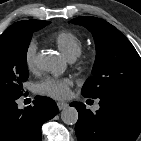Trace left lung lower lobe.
I'll use <instances>...</instances> for the list:
<instances>
[{
  "mask_svg": "<svg viewBox=\"0 0 141 141\" xmlns=\"http://www.w3.org/2000/svg\"><path fill=\"white\" fill-rule=\"evenodd\" d=\"M99 100L96 113L83 103L70 104L79 113L75 126L78 140L135 141L141 132V98L108 94Z\"/></svg>",
  "mask_w": 141,
  "mask_h": 141,
  "instance_id": "1",
  "label": "left lung lower lobe"
}]
</instances>
